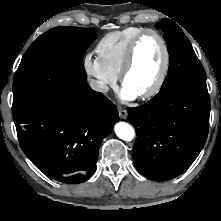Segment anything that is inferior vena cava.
Returning <instances> with one entry per match:
<instances>
[{
	"label": "inferior vena cava",
	"mask_w": 221,
	"mask_h": 221,
	"mask_svg": "<svg viewBox=\"0 0 221 221\" xmlns=\"http://www.w3.org/2000/svg\"><path fill=\"white\" fill-rule=\"evenodd\" d=\"M89 84L90 87L95 91L108 92L109 90V87L102 81L90 79Z\"/></svg>",
	"instance_id": "602c4592"
}]
</instances>
